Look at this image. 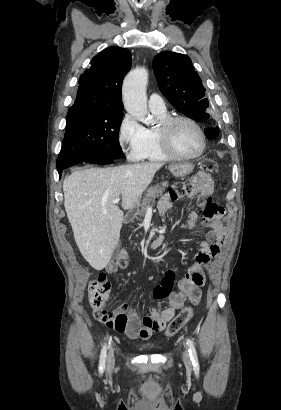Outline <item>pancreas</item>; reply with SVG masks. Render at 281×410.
<instances>
[{"instance_id": "cf45deb5", "label": "pancreas", "mask_w": 281, "mask_h": 410, "mask_svg": "<svg viewBox=\"0 0 281 410\" xmlns=\"http://www.w3.org/2000/svg\"><path fill=\"white\" fill-rule=\"evenodd\" d=\"M168 186L166 182L158 183L155 186L150 187L147 190L146 195L142 199V202L140 204V210L138 211V216L142 217L144 216L147 208L155 203V199L160 197L163 192L165 191V188ZM140 220V219H138Z\"/></svg>"}]
</instances>
